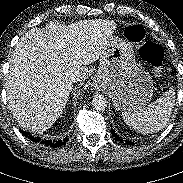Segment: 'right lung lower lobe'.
<instances>
[{"instance_id":"obj_1","label":"right lung lower lobe","mask_w":183,"mask_h":183,"mask_svg":"<svg viewBox=\"0 0 183 183\" xmlns=\"http://www.w3.org/2000/svg\"><path fill=\"white\" fill-rule=\"evenodd\" d=\"M20 131L24 134L25 137L31 139L33 142L47 146V147H51V148L62 147L69 140V138H64L58 141L50 140V139H41L40 137L32 136L29 132H25L23 130H20Z\"/></svg>"}]
</instances>
